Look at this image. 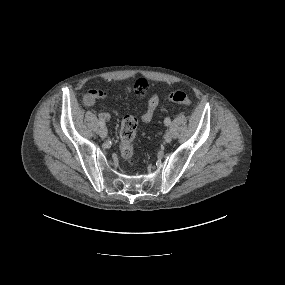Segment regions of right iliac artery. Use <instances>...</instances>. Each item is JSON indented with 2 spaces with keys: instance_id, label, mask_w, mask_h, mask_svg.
Returning <instances> with one entry per match:
<instances>
[{
  "instance_id": "1",
  "label": "right iliac artery",
  "mask_w": 285,
  "mask_h": 285,
  "mask_svg": "<svg viewBox=\"0 0 285 285\" xmlns=\"http://www.w3.org/2000/svg\"><path fill=\"white\" fill-rule=\"evenodd\" d=\"M99 125H100V126H104V125H105L104 121H102L101 119H99Z\"/></svg>"
}]
</instances>
